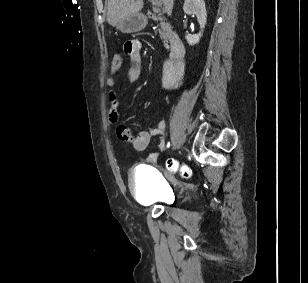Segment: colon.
Segmentation results:
<instances>
[{"mask_svg":"<svg viewBox=\"0 0 308 283\" xmlns=\"http://www.w3.org/2000/svg\"><path fill=\"white\" fill-rule=\"evenodd\" d=\"M122 66V58L119 54H115L112 58V69L118 71ZM167 168L173 172H179L182 176H190V170L186 167L180 166L177 161L169 160Z\"/></svg>","mask_w":308,"mask_h":283,"instance_id":"obj_1","label":"colon"}]
</instances>
